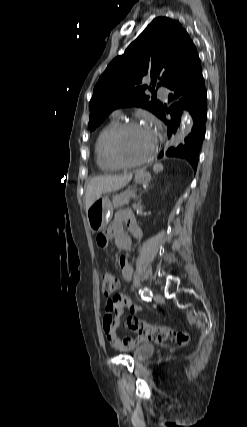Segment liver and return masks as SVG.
Instances as JSON below:
<instances>
[{"mask_svg": "<svg viewBox=\"0 0 247 427\" xmlns=\"http://www.w3.org/2000/svg\"><path fill=\"white\" fill-rule=\"evenodd\" d=\"M132 179V174H124L121 176H97L92 178L86 188L85 208L88 210L90 206L106 192H112L121 189L127 185Z\"/></svg>", "mask_w": 247, "mask_h": 427, "instance_id": "1", "label": "liver"}]
</instances>
